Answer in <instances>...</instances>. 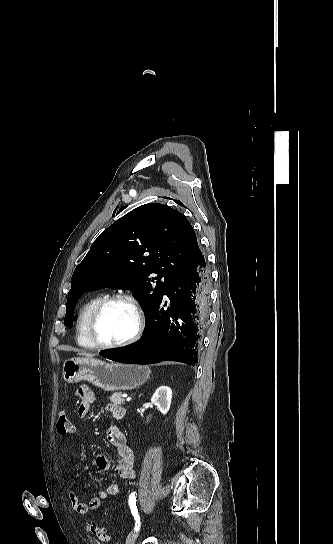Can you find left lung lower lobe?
I'll use <instances>...</instances> for the list:
<instances>
[{"instance_id":"0a47b994","label":"left lung lower lobe","mask_w":333,"mask_h":544,"mask_svg":"<svg viewBox=\"0 0 333 544\" xmlns=\"http://www.w3.org/2000/svg\"><path fill=\"white\" fill-rule=\"evenodd\" d=\"M210 273L204 256L186 268L168 287L162 299L147 312V327L134 344L103 350L108 359L137 364L177 361L193 365L198 359L207 320Z\"/></svg>"}]
</instances>
